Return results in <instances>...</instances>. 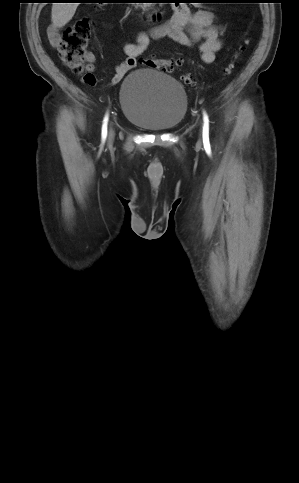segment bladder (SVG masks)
<instances>
[{"instance_id":"obj_1","label":"bladder","mask_w":299,"mask_h":483,"mask_svg":"<svg viewBox=\"0 0 299 483\" xmlns=\"http://www.w3.org/2000/svg\"><path fill=\"white\" fill-rule=\"evenodd\" d=\"M119 103L126 121L149 131H169L185 118L188 99L174 78L152 68L132 70L122 81Z\"/></svg>"}]
</instances>
